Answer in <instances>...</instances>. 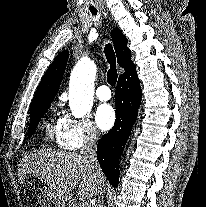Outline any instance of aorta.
I'll use <instances>...</instances> for the list:
<instances>
[{"instance_id":"1","label":"aorta","mask_w":206,"mask_h":207,"mask_svg":"<svg viewBox=\"0 0 206 207\" xmlns=\"http://www.w3.org/2000/svg\"><path fill=\"white\" fill-rule=\"evenodd\" d=\"M96 65L82 58L74 67L69 85V107L76 118H82L93 106Z\"/></svg>"}]
</instances>
